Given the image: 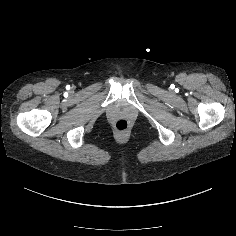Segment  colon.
<instances>
[{"label": "colon", "mask_w": 236, "mask_h": 236, "mask_svg": "<svg viewBox=\"0 0 236 236\" xmlns=\"http://www.w3.org/2000/svg\"><path fill=\"white\" fill-rule=\"evenodd\" d=\"M115 128L119 132H124L128 128V122L124 119H119L115 123Z\"/></svg>", "instance_id": "1"}]
</instances>
